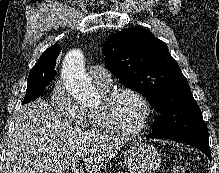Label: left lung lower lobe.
<instances>
[{
  "label": "left lung lower lobe",
  "instance_id": "left-lung-lower-lobe-1",
  "mask_svg": "<svg viewBox=\"0 0 219 173\" xmlns=\"http://www.w3.org/2000/svg\"><path fill=\"white\" fill-rule=\"evenodd\" d=\"M150 138H163V137H153L150 134L148 135ZM178 142H183L186 144H190L200 151H202L210 160H211V152L209 148V137L202 135H188L183 137L170 138Z\"/></svg>",
  "mask_w": 219,
  "mask_h": 173
}]
</instances>
